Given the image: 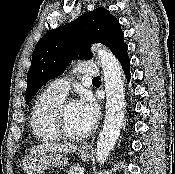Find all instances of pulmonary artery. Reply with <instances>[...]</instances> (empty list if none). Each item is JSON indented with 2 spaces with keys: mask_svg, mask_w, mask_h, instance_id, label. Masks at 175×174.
<instances>
[{
  "mask_svg": "<svg viewBox=\"0 0 175 174\" xmlns=\"http://www.w3.org/2000/svg\"><path fill=\"white\" fill-rule=\"evenodd\" d=\"M79 72L86 77H96L99 75L98 67L92 62L82 63L79 66ZM70 84L71 79L68 77H63L51 82L49 89L54 93L65 97L69 92Z\"/></svg>",
  "mask_w": 175,
  "mask_h": 174,
  "instance_id": "e3ab8cb5",
  "label": "pulmonary artery"
}]
</instances>
